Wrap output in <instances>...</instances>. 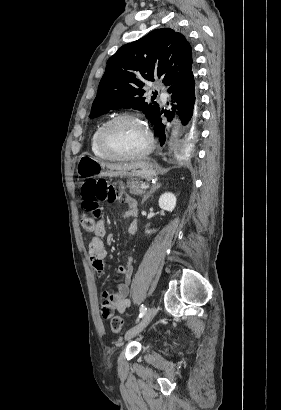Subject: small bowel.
I'll use <instances>...</instances> for the list:
<instances>
[{"label": "small bowel", "instance_id": "1", "mask_svg": "<svg viewBox=\"0 0 281 410\" xmlns=\"http://www.w3.org/2000/svg\"><path fill=\"white\" fill-rule=\"evenodd\" d=\"M118 199L127 207L125 216L130 218L128 234L133 235L137 231V203L132 197L125 194H120ZM106 234L107 229L105 222L103 220L97 221L94 228V237L89 243L88 256L93 268L99 276H103L105 273L104 258L107 255V249L103 242V238ZM132 263L133 258L132 256H129L127 264L117 268V273L123 277V282L116 285V291L112 293L104 291L102 293L101 312L103 317L109 318L115 311L123 313L130 307L128 296L133 278Z\"/></svg>", "mask_w": 281, "mask_h": 410}]
</instances>
